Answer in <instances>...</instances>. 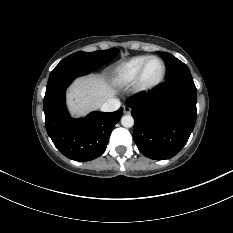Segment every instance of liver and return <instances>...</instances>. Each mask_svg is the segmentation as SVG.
Returning a JSON list of instances; mask_svg holds the SVG:
<instances>
[{
  "label": "liver",
  "instance_id": "1",
  "mask_svg": "<svg viewBox=\"0 0 233 233\" xmlns=\"http://www.w3.org/2000/svg\"><path fill=\"white\" fill-rule=\"evenodd\" d=\"M116 91L99 75L81 77L67 93L68 108L74 117L99 109Z\"/></svg>",
  "mask_w": 233,
  "mask_h": 233
}]
</instances>
